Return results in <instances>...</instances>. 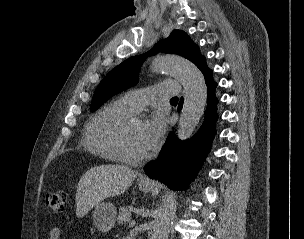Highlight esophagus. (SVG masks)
Returning a JSON list of instances; mask_svg holds the SVG:
<instances>
[{
	"label": "esophagus",
	"instance_id": "1",
	"mask_svg": "<svg viewBox=\"0 0 304 239\" xmlns=\"http://www.w3.org/2000/svg\"><path fill=\"white\" fill-rule=\"evenodd\" d=\"M140 181H141L142 183H146V184L151 183V181H150L148 178H146V177H141Z\"/></svg>",
	"mask_w": 304,
	"mask_h": 239
}]
</instances>
